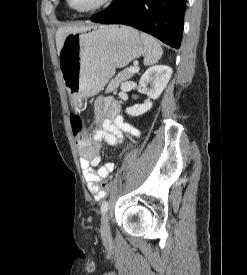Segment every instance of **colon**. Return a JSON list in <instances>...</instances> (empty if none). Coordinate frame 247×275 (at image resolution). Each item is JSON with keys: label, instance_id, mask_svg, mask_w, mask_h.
Wrapping results in <instances>:
<instances>
[{"label": "colon", "instance_id": "5ec220e1", "mask_svg": "<svg viewBox=\"0 0 247 275\" xmlns=\"http://www.w3.org/2000/svg\"><path fill=\"white\" fill-rule=\"evenodd\" d=\"M70 124L72 128L73 136L77 141H81L86 133V129L84 126V122L82 120V117L77 113H72L70 117ZM112 187V180L108 179L102 183V190L106 193H108L111 190Z\"/></svg>", "mask_w": 247, "mask_h": 275}]
</instances>
